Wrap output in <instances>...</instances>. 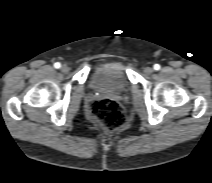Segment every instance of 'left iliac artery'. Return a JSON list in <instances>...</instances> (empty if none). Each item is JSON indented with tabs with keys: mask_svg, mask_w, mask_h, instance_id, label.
Returning a JSON list of instances; mask_svg holds the SVG:
<instances>
[{
	"mask_svg": "<svg viewBox=\"0 0 212 183\" xmlns=\"http://www.w3.org/2000/svg\"><path fill=\"white\" fill-rule=\"evenodd\" d=\"M154 69H155V70H159V69H160V65H159V64H155V65H154Z\"/></svg>",
	"mask_w": 212,
	"mask_h": 183,
	"instance_id": "1",
	"label": "left iliac artery"
}]
</instances>
